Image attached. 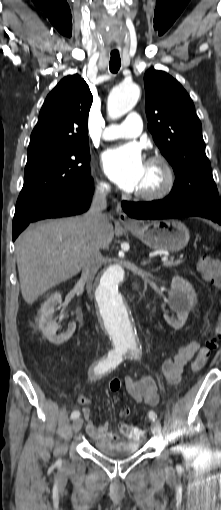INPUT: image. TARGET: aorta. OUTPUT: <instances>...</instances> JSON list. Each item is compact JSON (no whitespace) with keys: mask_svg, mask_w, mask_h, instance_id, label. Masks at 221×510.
Listing matches in <instances>:
<instances>
[{"mask_svg":"<svg viewBox=\"0 0 221 510\" xmlns=\"http://www.w3.org/2000/svg\"><path fill=\"white\" fill-rule=\"evenodd\" d=\"M140 96V88L134 83H122L115 87L108 98V115L120 118L133 109ZM125 281L124 268L119 264L109 266L98 279L95 297L103 325L116 349L136 350L139 338L130 307L122 292Z\"/></svg>","mask_w":221,"mask_h":510,"instance_id":"762f6f07","label":"aorta"}]
</instances>
